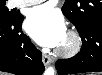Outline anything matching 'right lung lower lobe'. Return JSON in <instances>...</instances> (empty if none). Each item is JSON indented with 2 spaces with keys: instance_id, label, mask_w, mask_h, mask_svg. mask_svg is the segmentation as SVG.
<instances>
[{
  "instance_id": "obj_1",
  "label": "right lung lower lobe",
  "mask_w": 102,
  "mask_h": 75,
  "mask_svg": "<svg viewBox=\"0 0 102 75\" xmlns=\"http://www.w3.org/2000/svg\"><path fill=\"white\" fill-rule=\"evenodd\" d=\"M20 14L9 20L0 19V71L15 75H42V53L21 31Z\"/></svg>"
}]
</instances>
